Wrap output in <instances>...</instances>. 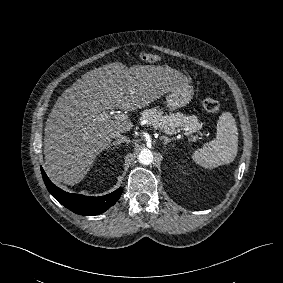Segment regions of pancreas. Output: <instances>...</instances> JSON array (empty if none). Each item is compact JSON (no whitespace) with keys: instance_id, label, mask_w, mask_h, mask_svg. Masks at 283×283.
Instances as JSON below:
<instances>
[{"instance_id":"1","label":"pancreas","mask_w":283,"mask_h":283,"mask_svg":"<svg viewBox=\"0 0 283 283\" xmlns=\"http://www.w3.org/2000/svg\"><path fill=\"white\" fill-rule=\"evenodd\" d=\"M140 121H147V124L158 130L175 132L180 129H188L190 133L198 132L201 129L199 119L195 115H183L182 113L163 114L161 109L152 108L141 113Z\"/></svg>"}]
</instances>
